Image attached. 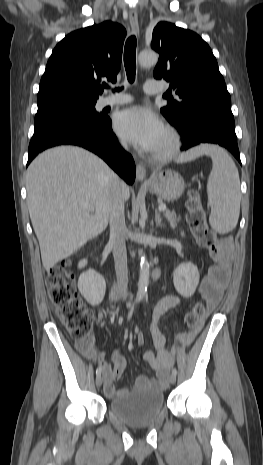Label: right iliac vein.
Returning a JSON list of instances; mask_svg holds the SVG:
<instances>
[{"label":"right iliac vein","mask_w":263,"mask_h":465,"mask_svg":"<svg viewBox=\"0 0 263 465\" xmlns=\"http://www.w3.org/2000/svg\"><path fill=\"white\" fill-rule=\"evenodd\" d=\"M103 383V377L101 375L97 376L96 378V386L100 387Z\"/></svg>","instance_id":"63e3f726"}]
</instances>
